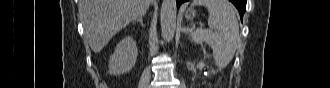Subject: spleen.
Returning a JSON list of instances; mask_svg holds the SVG:
<instances>
[{
	"label": "spleen",
	"instance_id": "spleen-1",
	"mask_svg": "<svg viewBox=\"0 0 330 88\" xmlns=\"http://www.w3.org/2000/svg\"><path fill=\"white\" fill-rule=\"evenodd\" d=\"M205 6L209 12V29H196L191 38L197 43L206 42L213 50L218 67H226L232 60L240 42L239 25L234 7L228 0H195L192 6Z\"/></svg>",
	"mask_w": 330,
	"mask_h": 88
}]
</instances>
